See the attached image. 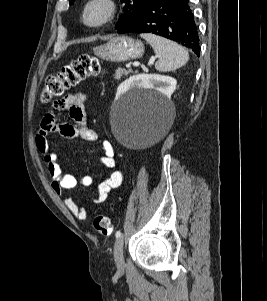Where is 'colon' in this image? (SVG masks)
Wrapping results in <instances>:
<instances>
[{
	"label": "colon",
	"instance_id": "obj_1",
	"mask_svg": "<svg viewBox=\"0 0 267 301\" xmlns=\"http://www.w3.org/2000/svg\"><path fill=\"white\" fill-rule=\"evenodd\" d=\"M102 72L103 68L97 57L87 54L81 55L70 65L65 66L60 73L51 75L46 79L41 93V100L49 102L87 77L97 76ZM93 225L101 235L107 236L112 233L113 225L106 215H97L93 220Z\"/></svg>",
	"mask_w": 267,
	"mask_h": 301
}]
</instances>
